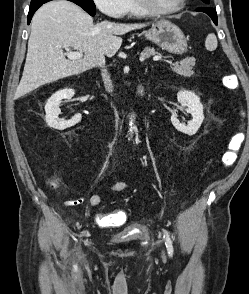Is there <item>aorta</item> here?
<instances>
[{"instance_id":"obj_1","label":"aorta","mask_w":249,"mask_h":294,"mask_svg":"<svg viewBox=\"0 0 249 294\" xmlns=\"http://www.w3.org/2000/svg\"><path fill=\"white\" fill-rule=\"evenodd\" d=\"M134 122H135V115L132 114L130 117V121H129V126H130V133L133 134V130H134Z\"/></svg>"}]
</instances>
